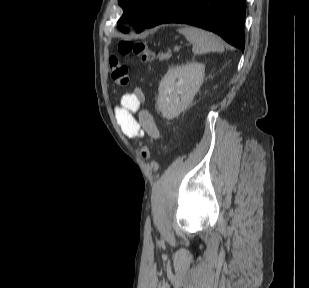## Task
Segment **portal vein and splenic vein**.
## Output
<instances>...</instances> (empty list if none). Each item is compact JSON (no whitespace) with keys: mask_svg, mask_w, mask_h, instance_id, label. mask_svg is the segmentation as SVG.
I'll use <instances>...</instances> for the list:
<instances>
[{"mask_svg":"<svg viewBox=\"0 0 309 288\" xmlns=\"http://www.w3.org/2000/svg\"><path fill=\"white\" fill-rule=\"evenodd\" d=\"M179 50H180V47H178V46H175V47H174V51H175V52H178Z\"/></svg>","mask_w":309,"mask_h":288,"instance_id":"obj_1","label":"portal vein and splenic vein"}]
</instances>
